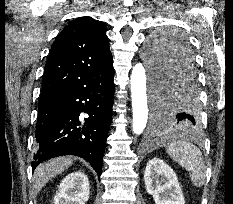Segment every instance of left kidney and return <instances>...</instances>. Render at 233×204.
Masks as SVG:
<instances>
[{"mask_svg":"<svg viewBox=\"0 0 233 204\" xmlns=\"http://www.w3.org/2000/svg\"><path fill=\"white\" fill-rule=\"evenodd\" d=\"M144 181L155 204H185L175 172L161 159L153 158L147 163Z\"/></svg>","mask_w":233,"mask_h":204,"instance_id":"5707ae66","label":"left kidney"}]
</instances>
